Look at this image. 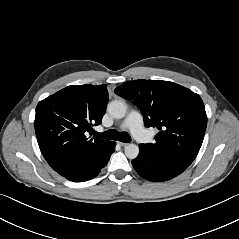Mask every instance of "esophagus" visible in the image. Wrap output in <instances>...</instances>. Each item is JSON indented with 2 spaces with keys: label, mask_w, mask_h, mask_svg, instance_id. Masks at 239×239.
Wrapping results in <instances>:
<instances>
[{
  "label": "esophagus",
  "mask_w": 239,
  "mask_h": 239,
  "mask_svg": "<svg viewBox=\"0 0 239 239\" xmlns=\"http://www.w3.org/2000/svg\"><path fill=\"white\" fill-rule=\"evenodd\" d=\"M117 144L122 146V147H125V146L128 145V143H124V142H120V141H118Z\"/></svg>",
  "instance_id": "obj_1"
}]
</instances>
